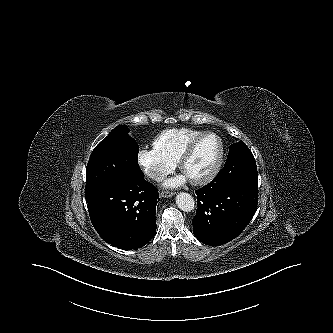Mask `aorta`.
I'll use <instances>...</instances> for the list:
<instances>
[{
	"label": "aorta",
	"mask_w": 333,
	"mask_h": 333,
	"mask_svg": "<svg viewBox=\"0 0 333 333\" xmlns=\"http://www.w3.org/2000/svg\"><path fill=\"white\" fill-rule=\"evenodd\" d=\"M176 204L180 210L190 212L194 209L195 201L189 193L180 192L176 196Z\"/></svg>",
	"instance_id": "aorta-1"
}]
</instances>
